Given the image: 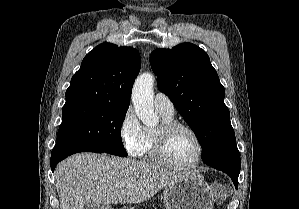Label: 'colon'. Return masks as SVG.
<instances>
[{
    "instance_id": "1",
    "label": "colon",
    "mask_w": 299,
    "mask_h": 209,
    "mask_svg": "<svg viewBox=\"0 0 299 209\" xmlns=\"http://www.w3.org/2000/svg\"><path fill=\"white\" fill-rule=\"evenodd\" d=\"M212 191L214 198L218 203H222L232 192L230 186L224 183H213Z\"/></svg>"
}]
</instances>
